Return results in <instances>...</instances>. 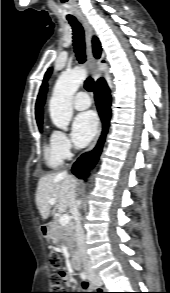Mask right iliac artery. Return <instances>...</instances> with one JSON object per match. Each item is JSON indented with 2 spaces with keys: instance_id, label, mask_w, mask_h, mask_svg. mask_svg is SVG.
Returning a JSON list of instances; mask_svg holds the SVG:
<instances>
[{
  "instance_id": "1",
  "label": "right iliac artery",
  "mask_w": 170,
  "mask_h": 293,
  "mask_svg": "<svg viewBox=\"0 0 170 293\" xmlns=\"http://www.w3.org/2000/svg\"><path fill=\"white\" fill-rule=\"evenodd\" d=\"M80 276H81L82 279H86L87 278V272L85 270L82 271Z\"/></svg>"
}]
</instances>
